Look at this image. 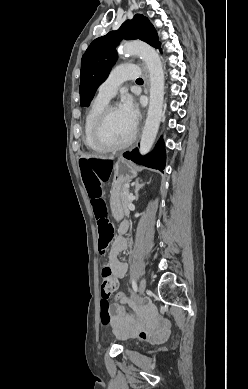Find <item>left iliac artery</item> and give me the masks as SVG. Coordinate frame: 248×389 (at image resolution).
I'll use <instances>...</instances> for the list:
<instances>
[{"mask_svg":"<svg viewBox=\"0 0 248 389\" xmlns=\"http://www.w3.org/2000/svg\"><path fill=\"white\" fill-rule=\"evenodd\" d=\"M132 287H133V290L135 292H137V284H136L135 280H132Z\"/></svg>","mask_w":248,"mask_h":389,"instance_id":"obj_1","label":"left iliac artery"}]
</instances>
